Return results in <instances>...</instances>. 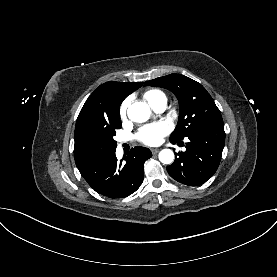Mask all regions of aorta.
<instances>
[{
	"label": "aorta",
	"instance_id": "aorta-1",
	"mask_svg": "<svg viewBox=\"0 0 277 277\" xmlns=\"http://www.w3.org/2000/svg\"><path fill=\"white\" fill-rule=\"evenodd\" d=\"M127 114L130 120L143 123L149 119L151 110L146 103L135 102L128 107ZM159 160L163 164H171L174 161L173 151L170 149L161 150L159 153Z\"/></svg>",
	"mask_w": 277,
	"mask_h": 277
}]
</instances>
